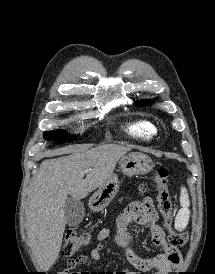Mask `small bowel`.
<instances>
[{"label": "small bowel", "instance_id": "1", "mask_svg": "<svg viewBox=\"0 0 215 274\" xmlns=\"http://www.w3.org/2000/svg\"><path fill=\"white\" fill-rule=\"evenodd\" d=\"M131 222L140 225H149L152 234V242L156 247L163 250V253L152 257L143 258L139 256L134 247L132 236L127 232L126 227ZM112 234L108 228L101 229L96 235L97 246L89 252V257L97 261L100 259V251L103 242ZM114 240L118 246L123 248L128 256L133 269L151 274H168L177 270L182 265V256L178 247L172 245L166 240L165 232L158 223V216L154 208L153 200L149 197L142 202H135L128 206L119 216L116 228L113 232ZM87 256L81 255L77 258L69 259L66 268L59 274H136L132 270H121L118 272H90L73 271L78 265L86 263Z\"/></svg>", "mask_w": 215, "mask_h": 274}]
</instances>
